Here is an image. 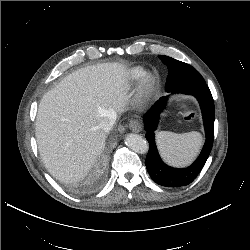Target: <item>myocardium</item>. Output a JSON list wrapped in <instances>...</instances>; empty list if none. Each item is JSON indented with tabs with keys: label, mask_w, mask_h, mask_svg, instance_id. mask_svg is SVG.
Here are the masks:
<instances>
[{
	"label": "myocardium",
	"mask_w": 250,
	"mask_h": 250,
	"mask_svg": "<svg viewBox=\"0 0 250 250\" xmlns=\"http://www.w3.org/2000/svg\"><path fill=\"white\" fill-rule=\"evenodd\" d=\"M156 85L155 77L152 73L145 72L140 79L139 94L141 97H146L152 93Z\"/></svg>",
	"instance_id": "f54148a6"
}]
</instances>
